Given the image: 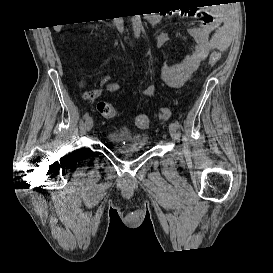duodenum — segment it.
<instances>
[{"instance_id":"410a0bca","label":"duodenum","mask_w":273,"mask_h":273,"mask_svg":"<svg viewBox=\"0 0 273 273\" xmlns=\"http://www.w3.org/2000/svg\"><path fill=\"white\" fill-rule=\"evenodd\" d=\"M158 19L155 15L150 16L149 22L150 23H157Z\"/></svg>"}]
</instances>
